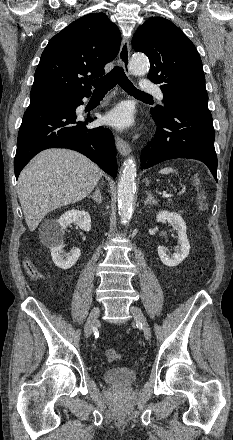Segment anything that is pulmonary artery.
Returning <instances> with one entry per match:
<instances>
[{"label":"pulmonary artery","instance_id":"1","mask_svg":"<svg viewBox=\"0 0 233 440\" xmlns=\"http://www.w3.org/2000/svg\"><path fill=\"white\" fill-rule=\"evenodd\" d=\"M142 91L155 94L160 100H163L164 94L161 89L150 82H144L141 84Z\"/></svg>","mask_w":233,"mask_h":440}]
</instances>
